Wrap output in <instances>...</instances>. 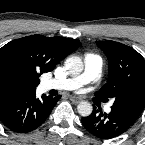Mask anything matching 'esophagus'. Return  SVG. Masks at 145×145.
Listing matches in <instances>:
<instances>
[{
    "label": "esophagus",
    "instance_id": "34e87169",
    "mask_svg": "<svg viewBox=\"0 0 145 145\" xmlns=\"http://www.w3.org/2000/svg\"><path fill=\"white\" fill-rule=\"evenodd\" d=\"M70 100L72 101V103L77 104V103H79L80 101H82V98L79 97V96H71V97H70Z\"/></svg>",
    "mask_w": 145,
    "mask_h": 145
}]
</instances>
